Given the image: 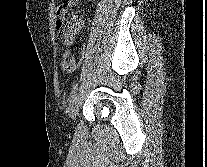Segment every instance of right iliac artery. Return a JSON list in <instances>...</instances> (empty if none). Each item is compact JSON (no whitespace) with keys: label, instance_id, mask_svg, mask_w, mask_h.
I'll return each instance as SVG.
<instances>
[{"label":"right iliac artery","instance_id":"82829eb1","mask_svg":"<svg viewBox=\"0 0 207 167\" xmlns=\"http://www.w3.org/2000/svg\"><path fill=\"white\" fill-rule=\"evenodd\" d=\"M77 90H78V84H76L73 88H72V91L70 92V101L73 100L76 96V93H77Z\"/></svg>","mask_w":207,"mask_h":167}]
</instances>
